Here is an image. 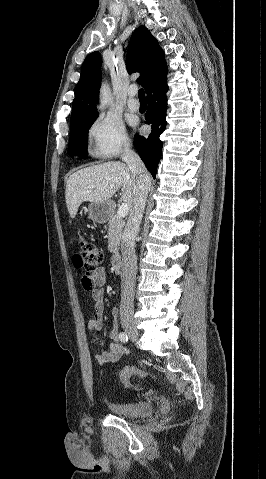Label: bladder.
Masks as SVG:
<instances>
[{"label":"bladder","instance_id":"bladder-1","mask_svg":"<svg viewBox=\"0 0 266 479\" xmlns=\"http://www.w3.org/2000/svg\"><path fill=\"white\" fill-rule=\"evenodd\" d=\"M109 409L115 416L122 418H135L152 414L153 407L148 401H132L111 403Z\"/></svg>","mask_w":266,"mask_h":479}]
</instances>
